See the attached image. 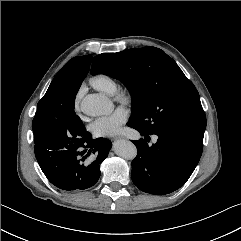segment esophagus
Instances as JSON below:
<instances>
[{"label": "esophagus", "mask_w": 241, "mask_h": 241, "mask_svg": "<svg viewBox=\"0 0 241 241\" xmlns=\"http://www.w3.org/2000/svg\"><path fill=\"white\" fill-rule=\"evenodd\" d=\"M123 137H114L113 140L116 141V140H119V139H122Z\"/></svg>", "instance_id": "34e87169"}]
</instances>
